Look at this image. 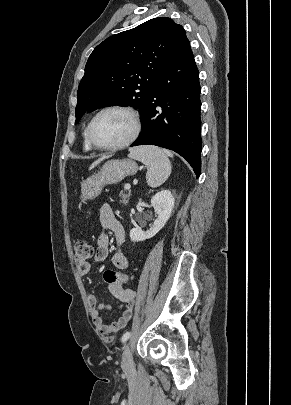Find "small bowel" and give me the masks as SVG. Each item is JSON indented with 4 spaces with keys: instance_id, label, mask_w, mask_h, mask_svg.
<instances>
[{
    "instance_id": "obj_1",
    "label": "small bowel",
    "mask_w": 291,
    "mask_h": 405,
    "mask_svg": "<svg viewBox=\"0 0 291 405\" xmlns=\"http://www.w3.org/2000/svg\"><path fill=\"white\" fill-rule=\"evenodd\" d=\"M100 224L103 229L110 230L114 233L118 244H122L125 240V231L122 224L115 217L111 207L105 204L100 209ZM109 254V236L106 233H101L97 239V249L94 256L95 262H103ZM113 265L120 270H125L129 266L127 256L117 251L112 256ZM91 271V265L84 263L78 265V272L81 276H87ZM109 292L113 297L121 303L122 315L111 324H106L101 317L100 312L110 309V306L104 303H98L95 295H88V304L90 307V316L96 329L103 335H108L123 329L132 318V311L135 301V291L126 289L122 285H114L108 283Z\"/></svg>"
}]
</instances>
